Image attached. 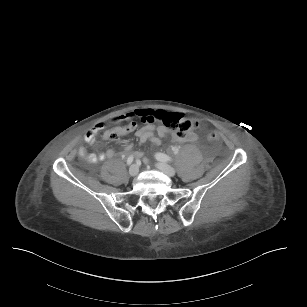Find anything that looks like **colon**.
<instances>
[{
	"instance_id": "colon-1",
	"label": "colon",
	"mask_w": 307,
	"mask_h": 307,
	"mask_svg": "<svg viewBox=\"0 0 307 307\" xmlns=\"http://www.w3.org/2000/svg\"><path fill=\"white\" fill-rule=\"evenodd\" d=\"M154 120H157L164 126L177 132L179 135H186L194 130L202 129V126L198 120L186 118L180 113H161L157 116V118L154 117ZM102 127L103 126H101V129ZM131 130L132 125H129L126 128H115L113 130H108L106 132L107 138L112 141H117L125 134V132ZM207 138L211 143H216L219 137L216 131L209 130L207 132Z\"/></svg>"
}]
</instances>
